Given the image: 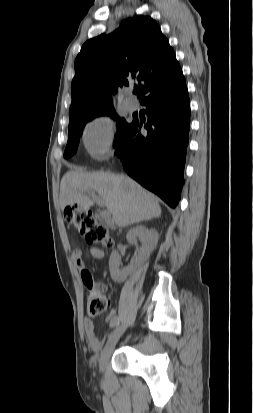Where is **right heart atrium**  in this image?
<instances>
[{"label": "right heart atrium", "instance_id": "1", "mask_svg": "<svg viewBox=\"0 0 253 413\" xmlns=\"http://www.w3.org/2000/svg\"><path fill=\"white\" fill-rule=\"evenodd\" d=\"M82 140L92 158L96 160L105 159L113 148L114 129L112 120L106 116L92 119L85 127Z\"/></svg>", "mask_w": 253, "mask_h": 413}]
</instances>
